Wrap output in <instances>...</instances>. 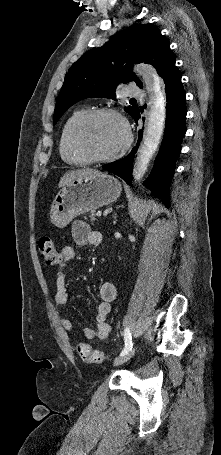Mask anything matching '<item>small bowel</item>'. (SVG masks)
<instances>
[{
	"label": "small bowel",
	"instance_id": "c3829d8e",
	"mask_svg": "<svg viewBox=\"0 0 221 455\" xmlns=\"http://www.w3.org/2000/svg\"><path fill=\"white\" fill-rule=\"evenodd\" d=\"M72 239L77 245L98 246L102 243L103 237L100 232L92 230L88 225L82 222H76L72 227ZM60 272L56 279L55 302L58 305H64L69 300V294L66 286V275L64 269L75 259V249L72 246H65L61 250ZM100 301L96 308V328H85L84 336L88 340H105L108 338L111 326L107 317L111 311V304L116 299V287L111 282H104L99 288ZM60 324L65 331H72L73 324L68 318H61Z\"/></svg>",
	"mask_w": 221,
	"mask_h": 455
}]
</instances>
